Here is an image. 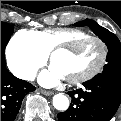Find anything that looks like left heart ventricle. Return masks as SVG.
Returning <instances> with one entry per match:
<instances>
[{
	"label": "left heart ventricle",
	"mask_w": 121,
	"mask_h": 121,
	"mask_svg": "<svg viewBox=\"0 0 121 121\" xmlns=\"http://www.w3.org/2000/svg\"><path fill=\"white\" fill-rule=\"evenodd\" d=\"M101 55V47L96 42H88L81 51L69 55L57 53L51 62L65 79L82 75L95 67Z\"/></svg>",
	"instance_id": "obj_1"
}]
</instances>
